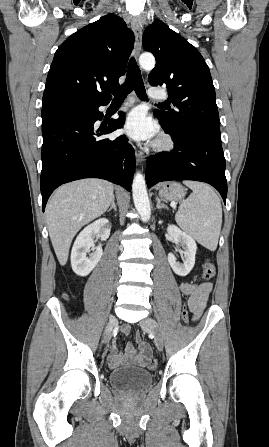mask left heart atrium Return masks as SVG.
Here are the masks:
<instances>
[{
    "mask_svg": "<svg viewBox=\"0 0 269 447\" xmlns=\"http://www.w3.org/2000/svg\"><path fill=\"white\" fill-rule=\"evenodd\" d=\"M123 132L134 140H150L157 136V124L141 108L129 111L123 119Z\"/></svg>",
    "mask_w": 269,
    "mask_h": 447,
    "instance_id": "1",
    "label": "left heart atrium"
}]
</instances>
